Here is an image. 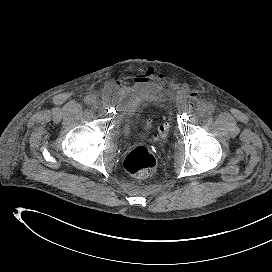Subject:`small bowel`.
Wrapping results in <instances>:
<instances>
[{
    "label": "small bowel",
    "instance_id": "small-bowel-1",
    "mask_svg": "<svg viewBox=\"0 0 272 272\" xmlns=\"http://www.w3.org/2000/svg\"><path fill=\"white\" fill-rule=\"evenodd\" d=\"M129 77L133 78V80L136 82H140L142 81V78L144 77V75L130 74ZM119 87H121V82L119 80H116L109 86V89L119 88Z\"/></svg>",
    "mask_w": 272,
    "mask_h": 272
}]
</instances>
